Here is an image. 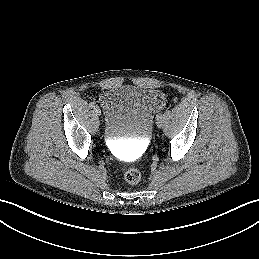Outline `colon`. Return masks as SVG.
Returning <instances> with one entry per match:
<instances>
[{"label": "colon", "instance_id": "colon-1", "mask_svg": "<svg viewBox=\"0 0 259 259\" xmlns=\"http://www.w3.org/2000/svg\"><path fill=\"white\" fill-rule=\"evenodd\" d=\"M125 182L129 185H137L141 180V173L136 168H130L123 174Z\"/></svg>", "mask_w": 259, "mask_h": 259}]
</instances>
